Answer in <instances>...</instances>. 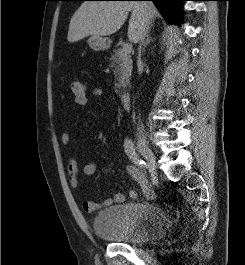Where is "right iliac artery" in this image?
<instances>
[{
    "instance_id": "right-iliac-artery-1",
    "label": "right iliac artery",
    "mask_w": 245,
    "mask_h": 265,
    "mask_svg": "<svg viewBox=\"0 0 245 265\" xmlns=\"http://www.w3.org/2000/svg\"><path fill=\"white\" fill-rule=\"evenodd\" d=\"M124 149L128 157L134 162L135 165L145 170L147 168L146 163L139 158V155L135 151L134 144L131 139L126 138L124 141Z\"/></svg>"
}]
</instances>
